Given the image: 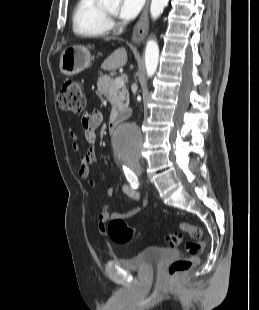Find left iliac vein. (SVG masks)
Listing matches in <instances>:
<instances>
[{
	"mask_svg": "<svg viewBox=\"0 0 259 310\" xmlns=\"http://www.w3.org/2000/svg\"><path fill=\"white\" fill-rule=\"evenodd\" d=\"M137 175H141V169H139L138 171H136Z\"/></svg>",
	"mask_w": 259,
	"mask_h": 310,
	"instance_id": "4c4485c4",
	"label": "left iliac vein"
}]
</instances>
